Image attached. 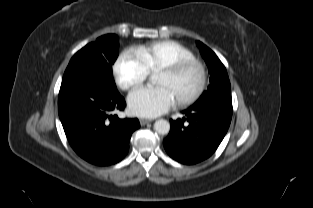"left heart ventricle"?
I'll use <instances>...</instances> for the list:
<instances>
[{
  "label": "left heart ventricle",
  "mask_w": 313,
  "mask_h": 208,
  "mask_svg": "<svg viewBox=\"0 0 313 208\" xmlns=\"http://www.w3.org/2000/svg\"><path fill=\"white\" fill-rule=\"evenodd\" d=\"M197 82L198 72L196 69L187 70L176 77L159 72L156 78V85L167 87L174 99L188 95L193 91Z\"/></svg>",
  "instance_id": "1"
}]
</instances>
